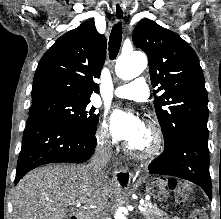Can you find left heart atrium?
Returning a JSON list of instances; mask_svg holds the SVG:
<instances>
[{"label": "left heart atrium", "instance_id": "left-heart-atrium-1", "mask_svg": "<svg viewBox=\"0 0 221 219\" xmlns=\"http://www.w3.org/2000/svg\"><path fill=\"white\" fill-rule=\"evenodd\" d=\"M110 132L117 141L133 140L144 128L140 118L132 111L115 110L109 119Z\"/></svg>", "mask_w": 221, "mask_h": 219}]
</instances>
